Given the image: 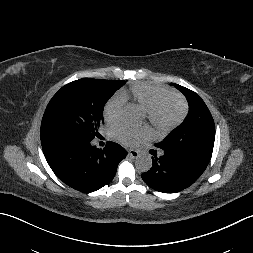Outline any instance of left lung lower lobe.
<instances>
[{"mask_svg": "<svg viewBox=\"0 0 253 253\" xmlns=\"http://www.w3.org/2000/svg\"><path fill=\"white\" fill-rule=\"evenodd\" d=\"M152 168L142 173L151 188L164 193H176L192 185L204 172L208 163L174 150H163L160 157H152Z\"/></svg>", "mask_w": 253, "mask_h": 253, "instance_id": "obj_1", "label": "left lung lower lobe"}]
</instances>
